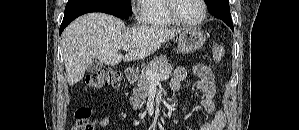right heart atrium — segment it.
<instances>
[{
	"instance_id": "1",
	"label": "right heart atrium",
	"mask_w": 299,
	"mask_h": 130,
	"mask_svg": "<svg viewBox=\"0 0 299 130\" xmlns=\"http://www.w3.org/2000/svg\"><path fill=\"white\" fill-rule=\"evenodd\" d=\"M147 0H138L133 2L132 13L137 21L144 20V10Z\"/></svg>"
}]
</instances>
